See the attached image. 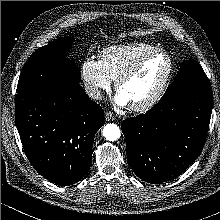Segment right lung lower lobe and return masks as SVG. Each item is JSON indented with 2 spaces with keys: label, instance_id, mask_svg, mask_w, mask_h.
I'll return each instance as SVG.
<instances>
[{
  "label": "right lung lower lobe",
  "instance_id": "1",
  "mask_svg": "<svg viewBox=\"0 0 220 220\" xmlns=\"http://www.w3.org/2000/svg\"><path fill=\"white\" fill-rule=\"evenodd\" d=\"M15 120L25 154L40 175L63 186L86 175L104 111L79 83L16 94Z\"/></svg>",
  "mask_w": 220,
  "mask_h": 220
}]
</instances>
